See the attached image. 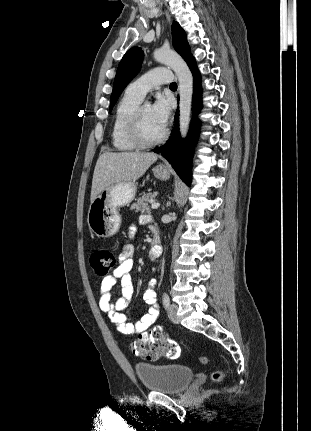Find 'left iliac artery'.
I'll use <instances>...</instances> for the list:
<instances>
[{
    "instance_id": "1",
    "label": "left iliac artery",
    "mask_w": 311,
    "mask_h": 431,
    "mask_svg": "<svg viewBox=\"0 0 311 431\" xmlns=\"http://www.w3.org/2000/svg\"><path fill=\"white\" fill-rule=\"evenodd\" d=\"M162 301H163L164 307L167 309L169 307V304H170V299H169V296L167 293L163 294Z\"/></svg>"
}]
</instances>
